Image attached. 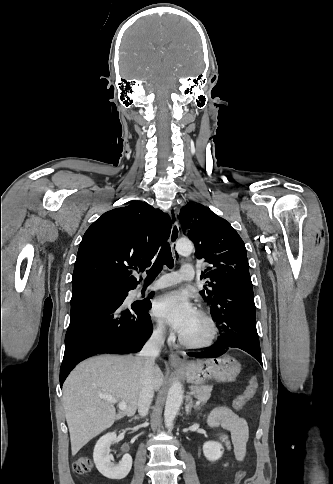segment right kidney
<instances>
[{
  "instance_id": "1",
  "label": "right kidney",
  "mask_w": 333,
  "mask_h": 484,
  "mask_svg": "<svg viewBox=\"0 0 333 484\" xmlns=\"http://www.w3.org/2000/svg\"><path fill=\"white\" fill-rule=\"evenodd\" d=\"M116 440V433L111 432L102 436L96 443L93 452V459L98 471L105 477L113 480L125 478L132 467V457L127 454L119 464L112 462L110 445Z\"/></svg>"
}]
</instances>
